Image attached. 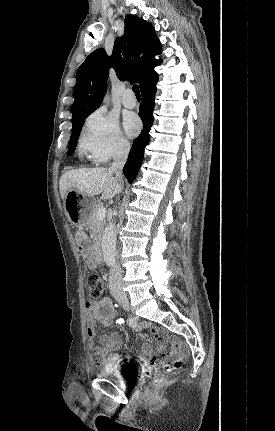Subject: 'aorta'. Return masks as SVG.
<instances>
[{"label":"aorta","mask_w":275,"mask_h":431,"mask_svg":"<svg viewBox=\"0 0 275 431\" xmlns=\"http://www.w3.org/2000/svg\"><path fill=\"white\" fill-rule=\"evenodd\" d=\"M116 240L117 232L114 223H109L103 233L102 237V252L104 262L107 266L113 267L116 263Z\"/></svg>","instance_id":"1"}]
</instances>
